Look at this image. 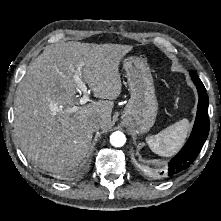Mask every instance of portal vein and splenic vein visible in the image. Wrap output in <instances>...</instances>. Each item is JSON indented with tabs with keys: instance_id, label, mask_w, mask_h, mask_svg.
Returning a JSON list of instances; mask_svg holds the SVG:
<instances>
[{
	"instance_id": "portal-vein-and-splenic-vein-1",
	"label": "portal vein and splenic vein",
	"mask_w": 221,
	"mask_h": 221,
	"mask_svg": "<svg viewBox=\"0 0 221 221\" xmlns=\"http://www.w3.org/2000/svg\"><path fill=\"white\" fill-rule=\"evenodd\" d=\"M73 79L76 82L77 87L83 92V95L80 97V105H84L89 101L90 90H88L87 86L80 78V69L78 72L74 73ZM76 109V107H73L70 111L73 112Z\"/></svg>"
}]
</instances>
